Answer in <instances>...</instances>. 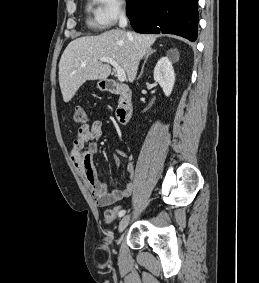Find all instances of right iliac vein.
I'll list each match as a JSON object with an SVG mask.
<instances>
[{
  "label": "right iliac vein",
  "mask_w": 259,
  "mask_h": 283,
  "mask_svg": "<svg viewBox=\"0 0 259 283\" xmlns=\"http://www.w3.org/2000/svg\"><path fill=\"white\" fill-rule=\"evenodd\" d=\"M129 222H130V215H126L121 219L119 226H118L119 233L123 232L126 229Z\"/></svg>",
  "instance_id": "right-iliac-vein-1"
}]
</instances>
